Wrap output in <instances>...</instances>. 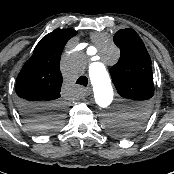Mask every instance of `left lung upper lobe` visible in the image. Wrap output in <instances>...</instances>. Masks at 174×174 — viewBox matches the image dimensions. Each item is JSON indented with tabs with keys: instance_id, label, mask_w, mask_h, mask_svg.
<instances>
[{
	"instance_id": "obj_1",
	"label": "left lung upper lobe",
	"mask_w": 174,
	"mask_h": 174,
	"mask_svg": "<svg viewBox=\"0 0 174 174\" xmlns=\"http://www.w3.org/2000/svg\"><path fill=\"white\" fill-rule=\"evenodd\" d=\"M120 59L110 73L117 92L131 99V109L110 124L111 132L121 138L134 135L147 122L153 107V74L150 56L138 34L132 29L119 30L114 38Z\"/></svg>"
}]
</instances>
